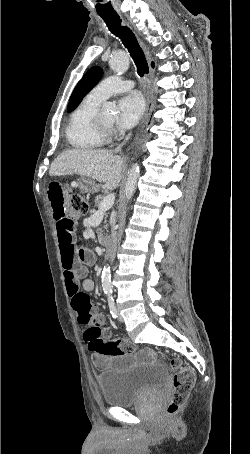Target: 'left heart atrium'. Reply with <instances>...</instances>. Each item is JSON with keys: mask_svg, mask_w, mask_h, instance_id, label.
<instances>
[{"mask_svg": "<svg viewBox=\"0 0 250 454\" xmlns=\"http://www.w3.org/2000/svg\"><path fill=\"white\" fill-rule=\"evenodd\" d=\"M117 125L120 128H130L134 126L145 110V100L141 93L132 92L122 97L118 102Z\"/></svg>", "mask_w": 250, "mask_h": 454, "instance_id": "left-heart-atrium-1", "label": "left heart atrium"}]
</instances>
